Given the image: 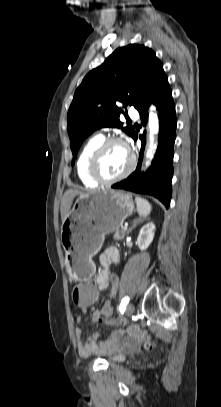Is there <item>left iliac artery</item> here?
Instances as JSON below:
<instances>
[{"label":"left iliac artery","mask_w":221,"mask_h":407,"mask_svg":"<svg viewBox=\"0 0 221 407\" xmlns=\"http://www.w3.org/2000/svg\"><path fill=\"white\" fill-rule=\"evenodd\" d=\"M129 300H130V299H129L128 296H126V297H124V298L122 299V301H121V303H120V306H119L120 312H123V311L125 310L127 304L129 303Z\"/></svg>","instance_id":"obj_1"}]
</instances>
